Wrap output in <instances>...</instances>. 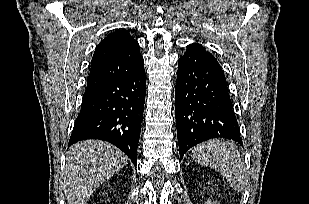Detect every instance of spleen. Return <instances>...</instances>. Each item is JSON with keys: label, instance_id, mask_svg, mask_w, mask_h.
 Returning <instances> with one entry per match:
<instances>
[{"label": "spleen", "instance_id": "obj_1", "mask_svg": "<svg viewBox=\"0 0 309 204\" xmlns=\"http://www.w3.org/2000/svg\"><path fill=\"white\" fill-rule=\"evenodd\" d=\"M191 158L219 171L234 190L244 189L247 182L246 167L232 143L222 139L204 142L191 150Z\"/></svg>", "mask_w": 309, "mask_h": 204}]
</instances>
